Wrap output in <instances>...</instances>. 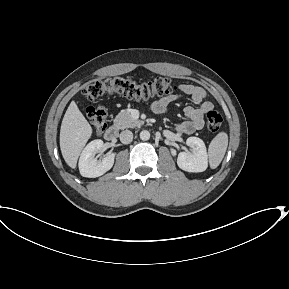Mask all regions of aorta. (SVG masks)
Here are the masks:
<instances>
[{
    "label": "aorta",
    "instance_id": "aorta-1",
    "mask_svg": "<svg viewBox=\"0 0 289 289\" xmlns=\"http://www.w3.org/2000/svg\"><path fill=\"white\" fill-rule=\"evenodd\" d=\"M140 139L143 141H147L150 139V132L147 130H143L140 132Z\"/></svg>",
    "mask_w": 289,
    "mask_h": 289
}]
</instances>
